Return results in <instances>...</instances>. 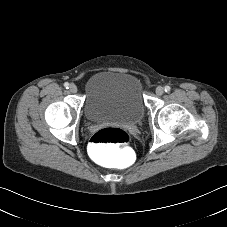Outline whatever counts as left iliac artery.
Returning a JSON list of instances; mask_svg holds the SVG:
<instances>
[{
  "mask_svg": "<svg viewBox=\"0 0 227 227\" xmlns=\"http://www.w3.org/2000/svg\"><path fill=\"white\" fill-rule=\"evenodd\" d=\"M170 90H171V87L170 86L167 85V86L164 87V91L165 92L168 93V92H170Z\"/></svg>",
  "mask_w": 227,
  "mask_h": 227,
  "instance_id": "left-iliac-artery-1",
  "label": "left iliac artery"
}]
</instances>
